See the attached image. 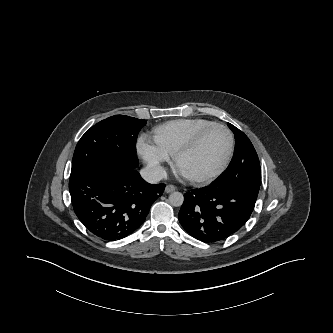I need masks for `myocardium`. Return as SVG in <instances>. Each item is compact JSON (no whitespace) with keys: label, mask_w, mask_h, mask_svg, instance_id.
Listing matches in <instances>:
<instances>
[{"label":"myocardium","mask_w":333,"mask_h":333,"mask_svg":"<svg viewBox=\"0 0 333 333\" xmlns=\"http://www.w3.org/2000/svg\"><path fill=\"white\" fill-rule=\"evenodd\" d=\"M221 129L223 130L227 137H228V141H229V147H228V152L227 155L223 161V163L220 165V167L215 170L214 172L205 175V176H189V175H185L183 174V176L189 180L192 183H196V184H207L212 182L213 180L217 179L220 175H222L225 170L227 169V167L229 166L233 154H234V149H235V140H234V136L231 132V130L225 126L224 124L221 123H214L204 129H202L201 131H199L188 143H186L184 146H182L174 155H173V162L174 165L176 167H178V163L179 160L186 154L190 153L191 151H193L198 145L199 143L202 141V139L213 129Z\"/></svg>","instance_id":"1"}]
</instances>
